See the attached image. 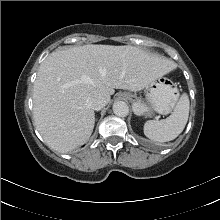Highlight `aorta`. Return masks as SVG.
<instances>
[{"mask_svg": "<svg viewBox=\"0 0 220 220\" xmlns=\"http://www.w3.org/2000/svg\"><path fill=\"white\" fill-rule=\"evenodd\" d=\"M113 112L119 117H126L129 114V107L123 101H116L113 104Z\"/></svg>", "mask_w": 220, "mask_h": 220, "instance_id": "762f6f07", "label": "aorta"}]
</instances>
